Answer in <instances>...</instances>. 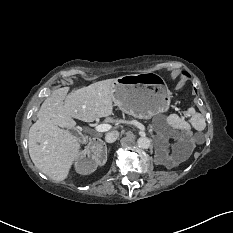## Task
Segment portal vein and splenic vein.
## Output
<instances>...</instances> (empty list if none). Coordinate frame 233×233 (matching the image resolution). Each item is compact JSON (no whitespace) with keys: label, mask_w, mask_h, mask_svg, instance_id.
Wrapping results in <instances>:
<instances>
[{"label":"portal vein and splenic vein","mask_w":233,"mask_h":233,"mask_svg":"<svg viewBox=\"0 0 233 233\" xmlns=\"http://www.w3.org/2000/svg\"><path fill=\"white\" fill-rule=\"evenodd\" d=\"M111 129V125L110 124H99L95 126V130L97 132H106L108 130Z\"/></svg>","instance_id":"18ae733b"}]
</instances>
